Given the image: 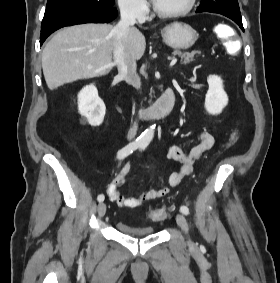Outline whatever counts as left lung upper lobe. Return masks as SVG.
I'll list each match as a JSON object with an SVG mask.
<instances>
[{
    "instance_id": "5c2ea615",
    "label": "left lung upper lobe",
    "mask_w": 280,
    "mask_h": 283,
    "mask_svg": "<svg viewBox=\"0 0 280 283\" xmlns=\"http://www.w3.org/2000/svg\"><path fill=\"white\" fill-rule=\"evenodd\" d=\"M196 12H212L226 17L241 18L237 0H201V4Z\"/></svg>"
}]
</instances>
